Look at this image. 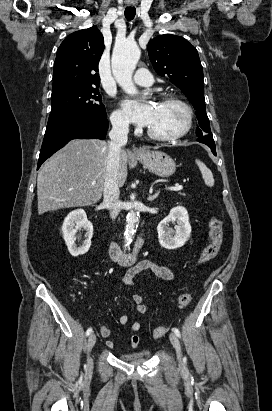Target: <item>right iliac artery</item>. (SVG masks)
<instances>
[{
  "instance_id": "right-iliac-artery-1",
  "label": "right iliac artery",
  "mask_w": 272,
  "mask_h": 411,
  "mask_svg": "<svg viewBox=\"0 0 272 411\" xmlns=\"http://www.w3.org/2000/svg\"><path fill=\"white\" fill-rule=\"evenodd\" d=\"M91 333H92V328L90 327V328L87 329L86 335L88 336V335H90Z\"/></svg>"
}]
</instances>
